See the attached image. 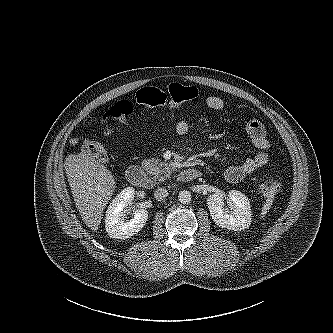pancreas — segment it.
Instances as JSON below:
<instances>
[{"label": "pancreas", "mask_w": 333, "mask_h": 333, "mask_svg": "<svg viewBox=\"0 0 333 333\" xmlns=\"http://www.w3.org/2000/svg\"><path fill=\"white\" fill-rule=\"evenodd\" d=\"M144 169L154 177L155 180L164 181L169 178L175 168L159 159H148L143 163Z\"/></svg>", "instance_id": "cf45deb5"}]
</instances>
